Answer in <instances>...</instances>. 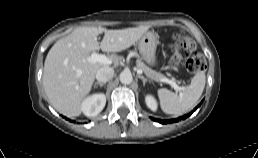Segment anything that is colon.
Here are the masks:
<instances>
[{"label": "colon", "mask_w": 258, "mask_h": 158, "mask_svg": "<svg viewBox=\"0 0 258 158\" xmlns=\"http://www.w3.org/2000/svg\"><path fill=\"white\" fill-rule=\"evenodd\" d=\"M174 52L169 64L172 68L183 65L188 72L195 74L205 70L206 61L204 57L196 51L194 41L183 33H176Z\"/></svg>", "instance_id": "5ec220e1"}]
</instances>
